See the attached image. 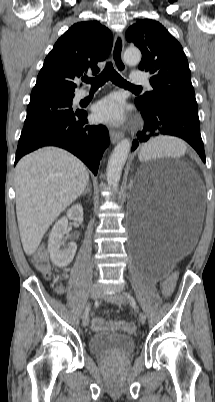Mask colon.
<instances>
[{
  "mask_svg": "<svg viewBox=\"0 0 215 402\" xmlns=\"http://www.w3.org/2000/svg\"><path fill=\"white\" fill-rule=\"evenodd\" d=\"M36 268L43 273V275L49 279L51 278V270L49 266V262L45 255H38L35 259ZM175 286V276H171L167 278L162 283V289L158 291V296L160 298H171L173 296V290ZM103 328L117 329L124 333H133L135 331L134 324L126 321L114 322V323H106L101 318H95L92 321V329L94 331L102 330Z\"/></svg>",
  "mask_w": 215,
  "mask_h": 402,
  "instance_id": "colon-1",
  "label": "colon"
}]
</instances>
